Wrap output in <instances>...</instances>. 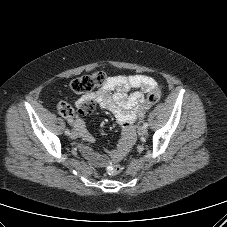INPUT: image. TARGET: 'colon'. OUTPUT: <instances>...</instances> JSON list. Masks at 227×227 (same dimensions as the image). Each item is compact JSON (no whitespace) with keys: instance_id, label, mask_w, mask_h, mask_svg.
I'll return each instance as SVG.
<instances>
[{"instance_id":"5ec220e1","label":"colon","mask_w":227,"mask_h":227,"mask_svg":"<svg viewBox=\"0 0 227 227\" xmlns=\"http://www.w3.org/2000/svg\"><path fill=\"white\" fill-rule=\"evenodd\" d=\"M107 81V76L103 71H97L90 75H85L78 77L71 82V89L76 94H88L92 92L95 88L103 86ZM162 88L157 86L152 92L147 96L145 104L140 109L138 115L139 118H143L146 110L152 107L161 97ZM59 113L66 118L71 117L74 114L72 107L65 103L61 102L58 105ZM107 171L110 175H118L122 171V166L119 163H111L107 167Z\"/></svg>"}]
</instances>
